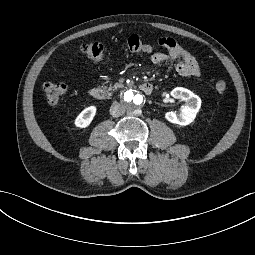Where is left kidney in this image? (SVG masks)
<instances>
[{"label":"left kidney","mask_w":255,"mask_h":255,"mask_svg":"<svg viewBox=\"0 0 255 255\" xmlns=\"http://www.w3.org/2000/svg\"><path fill=\"white\" fill-rule=\"evenodd\" d=\"M171 97L174 99H183L186 101V105L178 113L166 112L164 115L165 119L172 124L181 126H187L194 122L201 105L200 97L183 87L174 88L171 91Z\"/></svg>","instance_id":"1"}]
</instances>
